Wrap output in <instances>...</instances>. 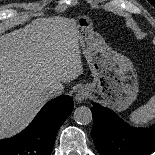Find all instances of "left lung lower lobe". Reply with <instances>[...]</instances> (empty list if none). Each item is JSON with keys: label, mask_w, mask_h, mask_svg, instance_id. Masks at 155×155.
<instances>
[{"label": "left lung lower lobe", "mask_w": 155, "mask_h": 155, "mask_svg": "<svg viewBox=\"0 0 155 155\" xmlns=\"http://www.w3.org/2000/svg\"><path fill=\"white\" fill-rule=\"evenodd\" d=\"M91 135L101 155H148L155 150V125L135 128L112 110L92 103Z\"/></svg>", "instance_id": "0a47b994"}]
</instances>
